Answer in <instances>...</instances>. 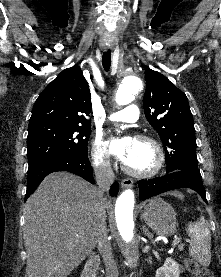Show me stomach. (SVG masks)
<instances>
[{
  "label": "stomach",
  "mask_w": 221,
  "mask_h": 277,
  "mask_svg": "<svg viewBox=\"0 0 221 277\" xmlns=\"http://www.w3.org/2000/svg\"><path fill=\"white\" fill-rule=\"evenodd\" d=\"M145 223L158 235L170 236L176 230V213L172 206L160 197L151 199L143 211Z\"/></svg>",
  "instance_id": "stomach-1"
}]
</instances>
